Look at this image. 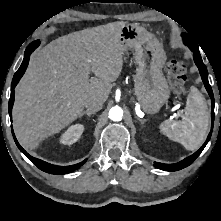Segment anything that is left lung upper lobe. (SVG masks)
I'll return each instance as SVG.
<instances>
[{"label": "left lung upper lobe", "instance_id": "obj_1", "mask_svg": "<svg viewBox=\"0 0 221 221\" xmlns=\"http://www.w3.org/2000/svg\"><path fill=\"white\" fill-rule=\"evenodd\" d=\"M182 37L184 40V43L193 51L196 53H199L198 45L194 41V39L187 33H182ZM200 54V53H199Z\"/></svg>", "mask_w": 221, "mask_h": 221}]
</instances>
